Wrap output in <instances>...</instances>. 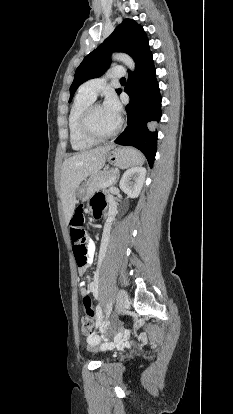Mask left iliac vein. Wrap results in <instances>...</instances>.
Instances as JSON below:
<instances>
[{"mask_svg": "<svg viewBox=\"0 0 233 414\" xmlns=\"http://www.w3.org/2000/svg\"><path fill=\"white\" fill-rule=\"evenodd\" d=\"M127 304H128V294L125 290H120L118 292L116 309H115V314H114L115 322L117 321L118 316L125 311Z\"/></svg>", "mask_w": 233, "mask_h": 414, "instance_id": "4c4485c4", "label": "left iliac vein"}]
</instances>
